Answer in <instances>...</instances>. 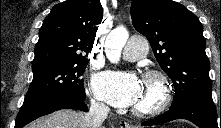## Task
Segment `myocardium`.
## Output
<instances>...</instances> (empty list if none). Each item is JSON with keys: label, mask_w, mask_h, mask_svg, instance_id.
<instances>
[{"label": "myocardium", "mask_w": 221, "mask_h": 128, "mask_svg": "<svg viewBox=\"0 0 221 128\" xmlns=\"http://www.w3.org/2000/svg\"><path fill=\"white\" fill-rule=\"evenodd\" d=\"M144 81L156 86L157 92L153 102L148 107H133L131 112L137 117H154L168 106L171 98V85L167 76L156 70L147 71Z\"/></svg>", "instance_id": "obj_1"}]
</instances>
